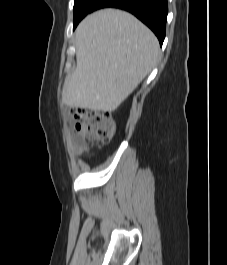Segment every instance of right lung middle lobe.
I'll return each instance as SVG.
<instances>
[{
    "mask_svg": "<svg viewBox=\"0 0 227 265\" xmlns=\"http://www.w3.org/2000/svg\"><path fill=\"white\" fill-rule=\"evenodd\" d=\"M99 0H75L73 8V28L88 14L91 13Z\"/></svg>",
    "mask_w": 227,
    "mask_h": 265,
    "instance_id": "dd1d6c3e",
    "label": "right lung middle lobe"
}]
</instances>
